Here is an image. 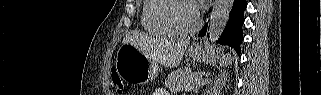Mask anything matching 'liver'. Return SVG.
Listing matches in <instances>:
<instances>
[{
    "instance_id": "obj_1",
    "label": "liver",
    "mask_w": 321,
    "mask_h": 95,
    "mask_svg": "<svg viewBox=\"0 0 321 95\" xmlns=\"http://www.w3.org/2000/svg\"><path fill=\"white\" fill-rule=\"evenodd\" d=\"M123 44H132L151 59L166 67H177L182 60L189 40H169L145 36L141 32L131 31L123 39Z\"/></svg>"
}]
</instances>
